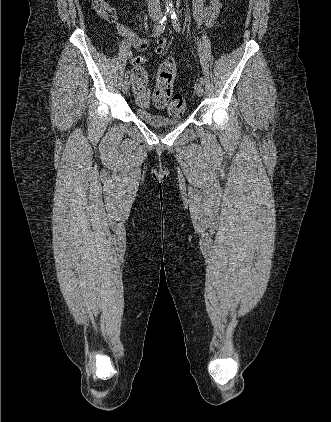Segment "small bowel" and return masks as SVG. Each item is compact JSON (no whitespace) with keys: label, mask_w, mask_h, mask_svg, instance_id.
Masks as SVG:
<instances>
[{"label":"small bowel","mask_w":331,"mask_h":422,"mask_svg":"<svg viewBox=\"0 0 331 422\" xmlns=\"http://www.w3.org/2000/svg\"><path fill=\"white\" fill-rule=\"evenodd\" d=\"M206 0H193V15L199 26L211 27L216 18L218 17L220 10L222 8V0H208V4H205ZM126 37L127 42L124 45L126 55L131 64L135 66H140L148 61L152 55H161L164 53L167 46V39L164 37L159 38L155 43V48L151 54L131 56L129 53L130 45H133L139 51H145L149 44L137 36H135L129 30L122 29L118 27ZM133 90L136 95V103L141 106H146L149 103V100L146 103H142L140 96L142 93L146 94L149 97V90L147 87L148 80H139L132 77Z\"/></svg>","instance_id":"c3829d8e"}]
</instances>
